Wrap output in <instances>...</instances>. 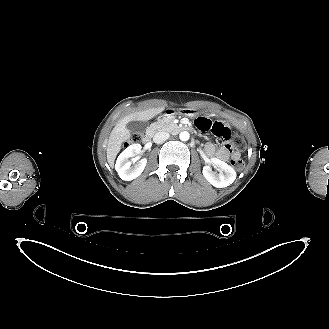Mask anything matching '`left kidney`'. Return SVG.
Wrapping results in <instances>:
<instances>
[{
	"label": "left kidney",
	"instance_id": "left-kidney-1",
	"mask_svg": "<svg viewBox=\"0 0 329 329\" xmlns=\"http://www.w3.org/2000/svg\"><path fill=\"white\" fill-rule=\"evenodd\" d=\"M209 164L220 170V173L217 174L212 171L210 165H206L203 167V176L214 187H227L232 184L236 179V171L224 161H221L218 158H211Z\"/></svg>",
	"mask_w": 329,
	"mask_h": 329
}]
</instances>
